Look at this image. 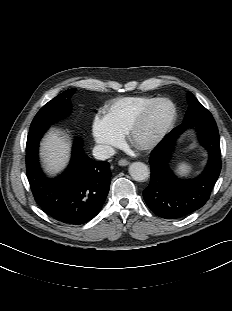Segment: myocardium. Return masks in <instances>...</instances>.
<instances>
[{
	"label": "myocardium",
	"mask_w": 232,
	"mask_h": 311,
	"mask_svg": "<svg viewBox=\"0 0 232 311\" xmlns=\"http://www.w3.org/2000/svg\"><path fill=\"white\" fill-rule=\"evenodd\" d=\"M160 104H168L171 108V112L163 126L158 130V132L152 136L150 139L144 142H138L136 140V135L142 125L145 123L149 114ZM177 114V109L175 104L168 98H156L148 105H146L134 119L132 124L130 125L126 137L129 144L139 150H149L156 147L167 135L169 130L171 129Z\"/></svg>",
	"instance_id": "1"
}]
</instances>
